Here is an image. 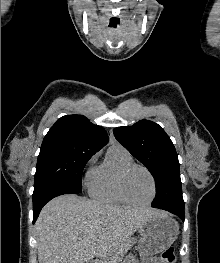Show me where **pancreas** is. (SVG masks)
<instances>
[{
  "mask_svg": "<svg viewBox=\"0 0 220 263\" xmlns=\"http://www.w3.org/2000/svg\"><path fill=\"white\" fill-rule=\"evenodd\" d=\"M136 242V239H131V240H128L127 241V243H126V245H125V247H124V249H123V251H125V250H128L129 248H131V246H133V244ZM122 251V252H123Z\"/></svg>",
  "mask_w": 220,
  "mask_h": 263,
  "instance_id": "obj_1",
  "label": "pancreas"
}]
</instances>
